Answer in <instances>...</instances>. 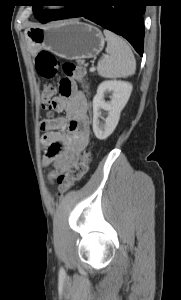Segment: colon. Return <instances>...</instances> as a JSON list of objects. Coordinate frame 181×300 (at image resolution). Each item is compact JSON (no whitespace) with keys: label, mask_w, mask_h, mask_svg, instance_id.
I'll use <instances>...</instances> for the list:
<instances>
[{"label":"colon","mask_w":181,"mask_h":300,"mask_svg":"<svg viewBox=\"0 0 181 300\" xmlns=\"http://www.w3.org/2000/svg\"><path fill=\"white\" fill-rule=\"evenodd\" d=\"M36 70L44 79L54 78L61 67L64 74L79 83H84L86 69L72 62H66L61 65L58 58L49 51H41L36 58ZM57 93V86L52 83L45 85L41 94V106L46 111L52 109V98ZM91 162V150L85 149L81 157L70 164L65 170L58 173L56 181L61 194L67 192L72 186L81 180L88 171Z\"/></svg>","instance_id":"obj_1"}]
</instances>
